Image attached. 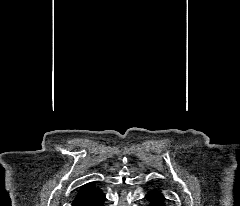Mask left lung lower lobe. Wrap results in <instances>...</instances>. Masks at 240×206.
<instances>
[{
  "label": "left lung lower lobe",
  "instance_id": "0a47b994",
  "mask_svg": "<svg viewBox=\"0 0 240 206\" xmlns=\"http://www.w3.org/2000/svg\"><path fill=\"white\" fill-rule=\"evenodd\" d=\"M147 206H166V199L162 191L158 188L150 190L146 196Z\"/></svg>",
  "mask_w": 240,
  "mask_h": 206
}]
</instances>
